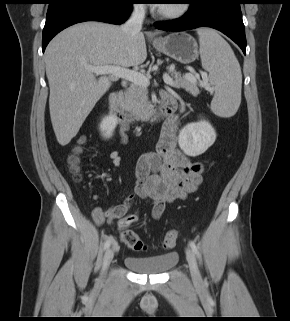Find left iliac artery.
I'll return each mask as SVG.
<instances>
[{"instance_id": "44dca946", "label": "left iliac artery", "mask_w": 290, "mask_h": 321, "mask_svg": "<svg viewBox=\"0 0 290 321\" xmlns=\"http://www.w3.org/2000/svg\"><path fill=\"white\" fill-rule=\"evenodd\" d=\"M189 245H190L191 249L193 250V252H194L197 256H199L200 254H199V251H198V248H197L196 244H195L193 241H190V242H189Z\"/></svg>"}]
</instances>
